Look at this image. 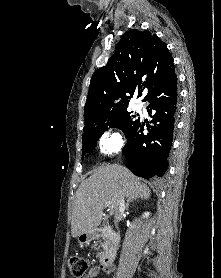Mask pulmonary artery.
<instances>
[{"instance_id": "e3ab8cb5", "label": "pulmonary artery", "mask_w": 221, "mask_h": 278, "mask_svg": "<svg viewBox=\"0 0 221 278\" xmlns=\"http://www.w3.org/2000/svg\"><path fill=\"white\" fill-rule=\"evenodd\" d=\"M140 108H141V107H140V105H136V109H138V110H139Z\"/></svg>"}]
</instances>
